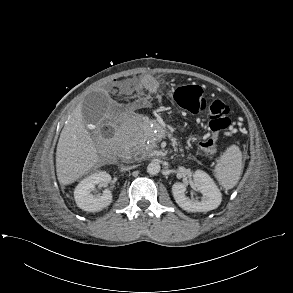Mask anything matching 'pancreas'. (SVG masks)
<instances>
[{
    "label": "pancreas",
    "instance_id": "pancreas-1",
    "mask_svg": "<svg viewBox=\"0 0 293 293\" xmlns=\"http://www.w3.org/2000/svg\"><path fill=\"white\" fill-rule=\"evenodd\" d=\"M133 136H134L133 131H128V130L127 131H122V133L119 136V141L125 143V142L128 141V139H130ZM151 145H152V147H155L156 146V141H154ZM151 145H150V147H151Z\"/></svg>",
    "mask_w": 293,
    "mask_h": 293
}]
</instances>
